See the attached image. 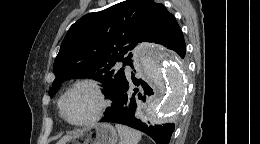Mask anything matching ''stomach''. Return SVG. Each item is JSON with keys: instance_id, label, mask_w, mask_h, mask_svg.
I'll use <instances>...</instances> for the list:
<instances>
[{"instance_id": "stomach-1", "label": "stomach", "mask_w": 260, "mask_h": 144, "mask_svg": "<svg viewBox=\"0 0 260 144\" xmlns=\"http://www.w3.org/2000/svg\"><path fill=\"white\" fill-rule=\"evenodd\" d=\"M116 129L108 123L97 124L83 129L71 138L72 144H116Z\"/></svg>"}]
</instances>
